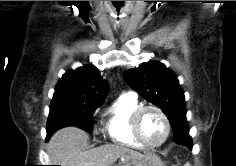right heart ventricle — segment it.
I'll return each mask as SVG.
<instances>
[{"label":"right heart ventricle","instance_id":"right-heart-ventricle-1","mask_svg":"<svg viewBox=\"0 0 236 166\" xmlns=\"http://www.w3.org/2000/svg\"><path fill=\"white\" fill-rule=\"evenodd\" d=\"M141 107L135 95L119 96L107 109L105 129L110 141L118 146L143 149L134 138L131 130V117Z\"/></svg>","mask_w":236,"mask_h":166}]
</instances>
